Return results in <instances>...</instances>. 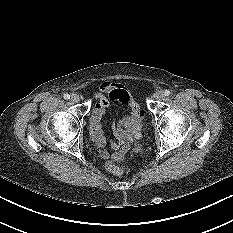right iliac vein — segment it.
I'll list each match as a JSON object with an SVG mask.
<instances>
[{
    "label": "right iliac vein",
    "mask_w": 233,
    "mask_h": 233,
    "mask_svg": "<svg viewBox=\"0 0 233 233\" xmlns=\"http://www.w3.org/2000/svg\"><path fill=\"white\" fill-rule=\"evenodd\" d=\"M71 101L75 102V103L79 102L80 101L79 95L78 94H72L71 95Z\"/></svg>",
    "instance_id": "right-iliac-vein-1"
}]
</instances>
